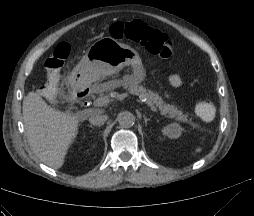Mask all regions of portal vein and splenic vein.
Segmentation results:
<instances>
[{"label": "portal vein and splenic vein", "instance_id": "1", "mask_svg": "<svg viewBox=\"0 0 254 216\" xmlns=\"http://www.w3.org/2000/svg\"><path fill=\"white\" fill-rule=\"evenodd\" d=\"M110 100H111V99H110L109 96H102V97L97 98V99L93 102V104H94V106L100 107V106L107 105V104L110 102ZM149 107H150V109H151L152 111L158 113V110H157L156 107H154V106H152V105H149Z\"/></svg>", "mask_w": 254, "mask_h": 216}]
</instances>
